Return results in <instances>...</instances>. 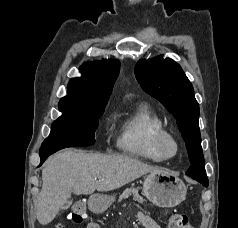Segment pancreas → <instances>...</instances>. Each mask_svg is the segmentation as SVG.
<instances>
[{
    "mask_svg": "<svg viewBox=\"0 0 238 228\" xmlns=\"http://www.w3.org/2000/svg\"><path fill=\"white\" fill-rule=\"evenodd\" d=\"M130 195L133 196V199L135 201H138L139 203H143L145 200L143 199V197H141L138 194V189L137 188H128L126 189L120 196H119V201H121L122 199H126L128 198Z\"/></svg>",
    "mask_w": 238,
    "mask_h": 228,
    "instance_id": "1",
    "label": "pancreas"
}]
</instances>
